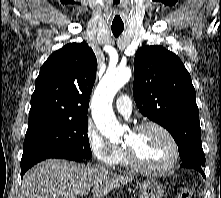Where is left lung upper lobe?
I'll use <instances>...</instances> for the list:
<instances>
[{"label": "left lung upper lobe", "instance_id": "1", "mask_svg": "<svg viewBox=\"0 0 221 198\" xmlns=\"http://www.w3.org/2000/svg\"><path fill=\"white\" fill-rule=\"evenodd\" d=\"M134 72L139 111L171 133L183 162L203 167L196 92L182 61L161 46H146L135 55Z\"/></svg>", "mask_w": 221, "mask_h": 198}]
</instances>
